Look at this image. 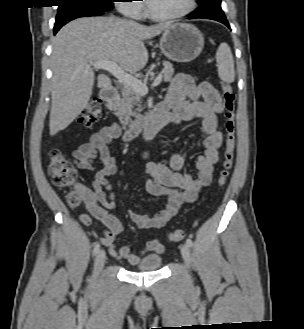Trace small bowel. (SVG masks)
<instances>
[{"instance_id":"obj_1","label":"small bowel","mask_w":304,"mask_h":329,"mask_svg":"<svg viewBox=\"0 0 304 329\" xmlns=\"http://www.w3.org/2000/svg\"><path fill=\"white\" fill-rule=\"evenodd\" d=\"M170 110L172 122L182 124L201 119L200 137L203 154L197 158V178L191 174L181 173L185 158L176 151L169 160V165L149 161L145 163L147 174L146 190L153 196H166L165 207L155 215H140L128 211L130 220L141 229L163 228L172 216L176 214L184 202L196 200L200 190L212 181L213 166L219 158V148L222 145L223 133L218 123V115L224 110L220 93L209 82L196 84L187 74H177L161 102ZM121 132L118 124L113 123L95 132L90 140L73 152V158L79 169L95 172L91 187L78 185L83 194V200L90 215H81L80 222L93 225L94 219L104 225L100 242L113 257L124 259L130 264H136L140 255L131 252L130 245L116 249V236L123 227L120 221L108 212L115 207V193L108 177L117 172V163L110 151V143ZM99 159L103 167L96 169L94 161ZM164 243L158 239L149 241L142 254L146 252L163 253Z\"/></svg>"}]
</instances>
